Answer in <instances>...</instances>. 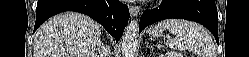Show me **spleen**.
<instances>
[{
  "instance_id": "1",
  "label": "spleen",
  "mask_w": 249,
  "mask_h": 57,
  "mask_svg": "<svg viewBox=\"0 0 249 57\" xmlns=\"http://www.w3.org/2000/svg\"><path fill=\"white\" fill-rule=\"evenodd\" d=\"M157 28L169 30L175 37L167 40L172 49L188 50L201 57H214V43L208 32L199 24L184 19H165Z\"/></svg>"
}]
</instances>
